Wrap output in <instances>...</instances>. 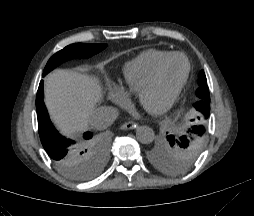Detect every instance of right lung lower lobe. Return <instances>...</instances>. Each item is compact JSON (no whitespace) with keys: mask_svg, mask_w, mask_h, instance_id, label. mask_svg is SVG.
Returning <instances> with one entry per match:
<instances>
[{"mask_svg":"<svg viewBox=\"0 0 254 216\" xmlns=\"http://www.w3.org/2000/svg\"><path fill=\"white\" fill-rule=\"evenodd\" d=\"M36 110L38 118V129L41 143L49 157L56 166H65L79 160L85 172H90L92 164L90 147L92 145V134L86 132L81 143L73 146L74 141L66 139L53 126L49 119L47 109L43 101V81L40 82L36 96ZM84 146V147H83Z\"/></svg>","mask_w":254,"mask_h":216,"instance_id":"98d812e1","label":"right lung lower lobe"}]
</instances>
